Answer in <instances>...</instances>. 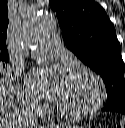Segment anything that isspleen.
I'll return each mask as SVG.
<instances>
[{
    "instance_id": "spleen-1",
    "label": "spleen",
    "mask_w": 125,
    "mask_h": 128,
    "mask_svg": "<svg viewBox=\"0 0 125 128\" xmlns=\"http://www.w3.org/2000/svg\"><path fill=\"white\" fill-rule=\"evenodd\" d=\"M120 127L125 128V118L120 121Z\"/></svg>"
}]
</instances>
